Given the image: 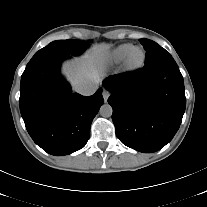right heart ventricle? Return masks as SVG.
<instances>
[{"label":"right heart ventricle","instance_id":"e07e8e85","mask_svg":"<svg viewBox=\"0 0 207 207\" xmlns=\"http://www.w3.org/2000/svg\"><path fill=\"white\" fill-rule=\"evenodd\" d=\"M134 46L132 44H122L114 48L106 57V61L111 65H116L123 61Z\"/></svg>","mask_w":207,"mask_h":207}]
</instances>
